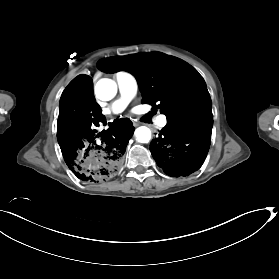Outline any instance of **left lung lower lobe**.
Returning a JSON list of instances; mask_svg holds the SVG:
<instances>
[{
    "label": "left lung lower lobe",
    "instance_id": "left-lung-lower-lobe-1",
    "mask_svg": "<svg viewBox=\"0 0 279 279\" xmlns=\"http://www.w3.org/2000/svg\"><path fill=\"white\" fill-rule=\"evenodd\" d=\"M212 125L213 121L167 124L150 144L157 165L172 177L198 170L209 150Z\"/></svg>",
    "mask_w": 279,
    "mask_h": 279
}]
</instances>
